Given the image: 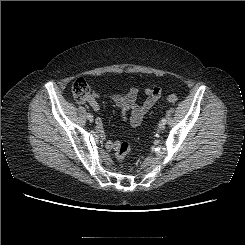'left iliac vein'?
I'll use <instances>...</instances> for the list:
<instances>
[{
	"instance_id": "1",
	"label": "left iliac vein",
	"mask_w": 245,
	"mask_h": 245,
	"mask_svg": "<svg viewBox=\"0 0 245 245\" xmlns=\"http://www.w3.org/2000/svg\"><path fill=\"white\" fill-rule=\"evenodd\" d=\"M158 128H159L160 130H164L165 124L161 121V122L158 124Z\"/></svg>"
}]
</instances>
